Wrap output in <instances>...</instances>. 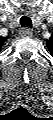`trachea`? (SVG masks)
<instances>
[{"label": "trachea", "instance_id": "trachea-1", "mask_svg": "<svg viewBox=\"0 0 53 120\" xmlns=\"http://www.w3.org/2000/svg\"><path fill=\"white\" fill-rule=\"evenodd\" d=\"M20 24L22 27H32V21L29 17L23 16L20 18Z\"/></svg>", "mask_w": 53, "mask_h": 120}]
</instances>
